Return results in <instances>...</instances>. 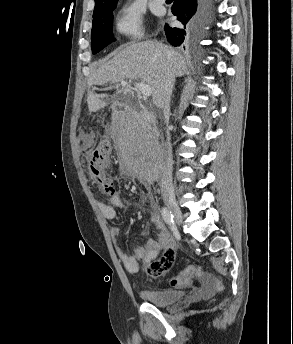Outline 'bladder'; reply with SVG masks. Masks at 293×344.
Listing matches in <instances>:
<instances>
[{
  "label": "bladder",
  "instance_id": "1",
  "mask_svg": "<svg viewBox=\"0 0 293 344\" xmlns=\"http://www.w3.org/2000/svg\"><path fill=\"white\" fill-rule=\"evenodd\" d=\"M145 299L157 306H167L184 298V292L172 288L144 290Z\"/></svg>",
  "mask_w": 293,
  "mask_h": 344
}]
</instances>
